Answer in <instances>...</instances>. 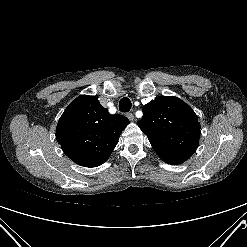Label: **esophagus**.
<instances>
[{"label": "esophagus", "mask_w": 247, "mask_h": 247, "mask_svg": "<svg viewBox=\"0 0 247 247\" xmlns=\"http://www.w3.org/2000/svg\"><path fill=\"white\" fill-rule=\"evenodd\" d=\"M127 118L130 120V121H134L135 120V116L133 113H127Z\"/></svg>", "instance_id": "esophagus-1"}]
</instances>
